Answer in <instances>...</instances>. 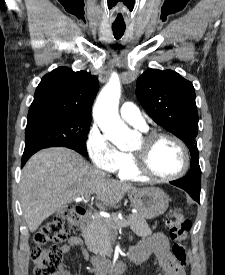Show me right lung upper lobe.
Here are the masks:
<instances>
[{
  "instance_id": "right-lung-upper-lobe-1",
  "label": "right lung upper lobe",
  "mask_w": 225,
  "mask_h": 275,
  "mask_svg": "<svg viewBox=\"0 0 225 275\" xmlns=\"http://www.w3.org/2000/svg\"><path fill=\"white\" fill-rule=\"evenodd\" d=\"M95 76L58 67L46 74L38 85L28 117L74 115L90 117V108L98 91Z\"/></svg>"
}]
</instances>
